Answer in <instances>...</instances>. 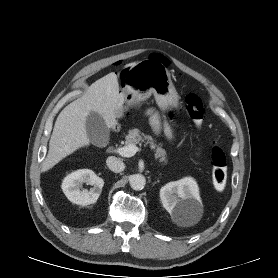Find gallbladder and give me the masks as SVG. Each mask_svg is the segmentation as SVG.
Wrapping results in <instances>:
<instances>
[{
	"mask_svg": "<svg viewBox=\"0 0 278 278\" xmlns=\"http://www.w3.org/2000/svg\"><path fill=\"white\" fill-rule=\"evenodd\" d=\"M86 131L90 142L98 147H104L109 142V129L104 119L97 112L91 111L86 119Z\"/></svg>",
	"mask_w": 278,
	"mask_h": 278,
	"instance_id": "obj_1",
	"label": "gallbladder"
}]
</instances>
